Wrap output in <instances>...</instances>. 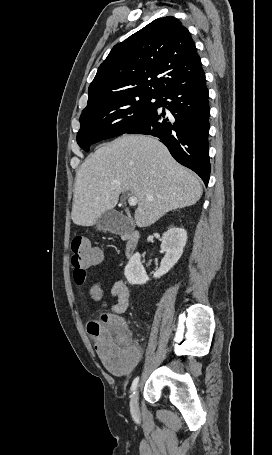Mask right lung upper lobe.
<instances>
[{
  "label": "right lung upper lobe",
  "mask_w": 272,
  "mask_h": 455,
  "mask_svg": "<svg viewBox=\"0 0 272 455\" xmlns=\"http://www.w3.org/2000/svg\"><path fill=\"white\" fill-rule=\"evenodd\" d=\"M204 73L186 27L158 18L115 45L88 89L86 112L127 97L165 91Z\"/></svg>",
  "instance_id": "obj_1"
}]
</instances>
